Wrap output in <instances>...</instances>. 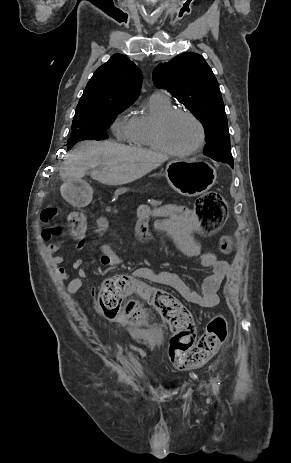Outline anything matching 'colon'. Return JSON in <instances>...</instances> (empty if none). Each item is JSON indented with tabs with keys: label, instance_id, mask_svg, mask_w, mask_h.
Instances as JSON below:
<instances>
[{
	"label": "colon",
	"instance_id": "colon-1",
	"mask_svg": "<svg viewBox=\"0 0 291 463\" xmlns=\"http://www.w3.org/2000/svg\"><path fill=\"white\" fill-rule=\"evenodd\" d=\"M140 214L145 219L156 216L157 226H189L194 231L211 233L225 221L227 205L220 193L211 191L197 199L194 209L174 202H156L153 205H143ZM59 215V207L49 206L41 212L40 219L43 224H49ZM86 223L87 217L83 212L72 211L66 214L64 222L46 227L43 236L49 242L56 240L57 236H80L86 232ZM221 248L223 251L229 250L227 238L222 240ZM133 296L169 319L174 334L170 340L168 355L178 369L200 367L216 353L227 337V323L217 316L210 320L203 335L195 342L194 319L183 305L166 291L153 288L125 274L112 276L103 283L99 291V302L104 315L110 319L125 316L134 323L143 322L145 314L138 303L131 301L122 308L123 300Z\"/></svg>",
	"mask_w": 291,
	"mask_h": 463
}]
</instances>
